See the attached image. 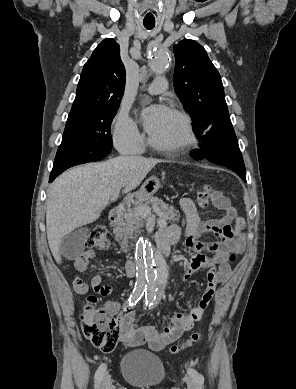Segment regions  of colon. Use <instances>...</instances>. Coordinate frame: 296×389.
I'll use <instances>...</instances> for the list:
<instances>
[{
  "label": "colon",
  "mask_w": 296,
  "mask_h": 389,
  "mask_svg": "<svg viewBox=\"0 0 296 389\" xmlns=\"http://www.w3.org/2000/svg\"><path fill=\"white\" fill-rule=\"evenodd\" d=\"M198 203L202 208H207L214 199H222L217 196L209 187H205L198 195ZM85 246L97 249H106L109 245L106 230L101 226L93 227L83 239ZM229 260L233 262L235 255L231 254ZM97 298L90 296L81 314L82 330L87 340L103 352H111L116 347L120 338V324L112 317L105 307H98ZM200 318H197L199 320ZM201 335L197 332L180 345H173L170 348L172 354H177L181 350L191 347L197 343Z\"/></svg>",
  "instance_id": "1"
}]
</instances>
